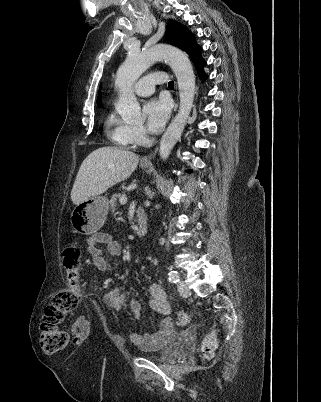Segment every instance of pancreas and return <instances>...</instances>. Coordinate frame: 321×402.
Here are the masks:
<instances>
[{
  "label": "pancreas",
  "mask_w": 321,
  "mask_h": 402,
  "mask_svg": "<svg viewBox=\"0 0 321 402\" xmlns=\"http://www.w3.org/2000/svg\"><path fill=\"white\" fill-rule=\"evenodd\" d=\"M121 197V194H114L112 196V198L109 201L110 204V210L112 213L115 212L116 208H117V200Z\"/></svg>",
  "instance_id": "obj_1"
}]
</instances>
